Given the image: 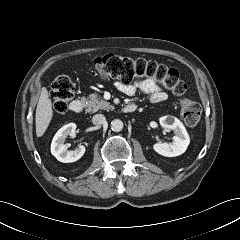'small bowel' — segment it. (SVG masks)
<instances>
[{"instance_id":"obj_1","label":"small bowel","mask_w":240,"mask_h":240,"mask_svg":"<svg viewBox=\"0 0 240 240\" xmlns=\"http://www.w3.org/2000/svg\"><path fill=\"white\" fill-rule=\"evenodd\" d=\"M115 87L121 93L127 96H134L138 91L148 95L150 102L160 103L166 100L167 95L160 85L152 79L138 80L132 84L116 82Z\"/></svg>"}]
</instances>
